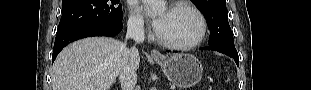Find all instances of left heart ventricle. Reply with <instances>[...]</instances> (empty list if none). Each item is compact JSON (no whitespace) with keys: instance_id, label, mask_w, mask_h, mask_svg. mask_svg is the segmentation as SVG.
Listing matches in <instances>:
<instances>
[{"instance_id":"left-heart-ventricle-1","label":"left heart ventricle","mask_w":311,"mask_h":90,"mask_svg":"<svg viewBox=\"0 0 311 90\" xmlns=\"http://www.w3.org/2000/svg\"><path fill=\"white\" fill-rule=\"evenodd\" d=\"M163 26L158 31L161 38L173 43H187L196 38L200 25L197 17L186 9L162 10Z\"/></svg>"}]
</instances>
